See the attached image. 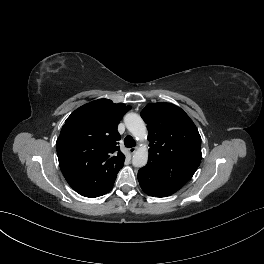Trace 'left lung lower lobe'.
<instances>
[{
    "label": "left lung lower lobe",
    "instance_id": "left-lung-lower-lobe-1",
    "mask_svg": "<svg viewBox=\"0 0 264 264\" xmlns=\"http://www.w3.org/2000/svg\"><path fill=\"white\" fill-rule=\"evenodd\" d=\"M138 181L146 194L165 197L179 190L188 180L182 175L167 174L155 162L148 161L138 171Z\"/></svg>",
    "mask_w": 264,
    "mask_h": 264
}]
</instances>
